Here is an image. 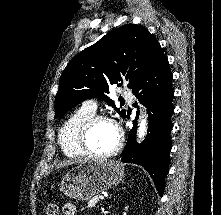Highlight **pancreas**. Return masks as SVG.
I'll return each instance as SVG.
<instances>
[{
	"mask_svg": "<svg viewBox=\"0 0 221 215\" xmlns=\"http://www.w3.org/2000/svg\"><path fill=\"white\" fill-rule=\"evenodd\" d=\"M100 197L95 196L94 198H92L89 202H88V206L89 208L94 207L99 201H100Z\"/></svg>",
	"mask_w": 221,
	"mask_h": 215,
	"instance_id": "pancreas-1",
	"label": "pancreas"
}]
</instances>
